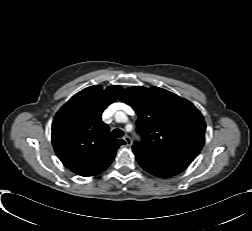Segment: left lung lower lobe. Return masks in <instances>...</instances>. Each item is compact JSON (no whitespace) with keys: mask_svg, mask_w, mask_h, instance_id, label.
<instances>
[{"mask_svg":"<svg viewBox=\"0 0 252 231\" xmlns=\"http://www.w3.org/2000/svg\"><path fill=\"white\" fill-rule=\"evenodd\" d=\"M140 166L148 173L168 178L183 172L192 161L179 157L146 156L134 153Z\"/></svg>","mask_w":252,"mask_h":231,"instance_id":"left-lung-lower-lobe-1","label":"left lung lower lobe"}]
</instances>
